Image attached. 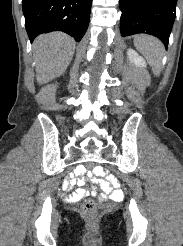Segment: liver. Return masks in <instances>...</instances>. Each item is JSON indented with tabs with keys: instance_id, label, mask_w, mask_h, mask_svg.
<instances>
[{
	"instance_id": "obj_1",
	"label": "liver",
	"mask_w": 183,
	"mask_h": 246,
	"mask_svg": "<svg viewBox=\"0 0 183 246\" xmlns=\"http://www.w3.org/2000/svg\"><path fill=\"white\" fill-rule=\"evenodd\" d=\"M36 60V80L39 85L61 76L72 60L75 41L60 33L40 35L33 43Z\"/></svg>"
}]
</instances>
